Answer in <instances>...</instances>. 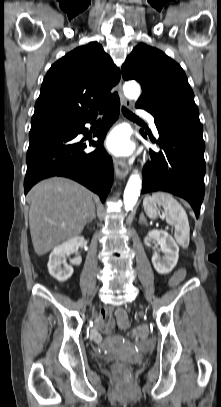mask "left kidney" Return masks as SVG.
<instances>
[{"label": "left kidney", "mask_w": 221, "mask_h": 407, "mask_svg": "<svg viewBox=\"0 0 221 407\" xmlns=\"http://www.w3.org/2000/svg\"><path fill=\"white\" fill-rule=\"evenodd\" d=\"M154 240L160 245L164 256L161 258L157 252L152 256V263L155 270L160 274H168L176 266L179 257V247L172 236L164 230H152L145 238V245L150 246V241Z\"/></svg>", "instance_id": "5707ae66"}]
</instances>
